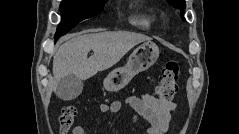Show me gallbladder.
I'll return each mask as SVG.
<instances>
[{
	"mask_svg": "<svg viewBox=\"0 0 239 134\" xmlns=\"http://www.w3.org/2000/svg\"><path fill=\"white\" fill-rule=\"evenodd\" d=\"M83 89V81L75 75H67L60 79L57 87V96L65 101L73 100L78 97Z\"/></svg>",
	"mask_w": 239,
	"mask_h": 134,
	"instance_id": "obj_1",
	"label": "gallbladder"
}]
</instances>
